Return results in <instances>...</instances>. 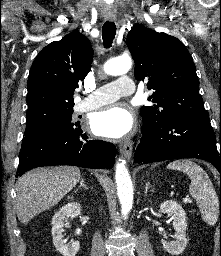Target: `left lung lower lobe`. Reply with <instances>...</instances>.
<instances>
[{"mask_svg":"<svg viewBox=\"0 0 221 256\" xmlns=\"http://www.w3.org/2000/svg\"><path fill=\"white\" fill-rule=\"evenodd\" d=\"M198 158L212 163L221 174V149L217 150L209 115L176 116L157 125L144 123L135 151L136 163Z\"/></svg>","mask_w":221,"mask_h":256,"instance_id":"0a47b994","label":"left lung lower lobe"}]
</instances>
